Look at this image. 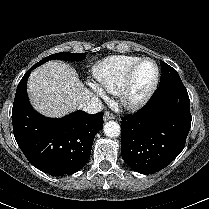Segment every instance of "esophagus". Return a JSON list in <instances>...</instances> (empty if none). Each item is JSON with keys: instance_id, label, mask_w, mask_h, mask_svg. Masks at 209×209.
<instances>
[{"instance_id": "obj_1", "label": "esophagus", "mask_w": 209, "mask_h": 209, "mask_svg": "<svg viewBox=\"0 0 209 209\" xmlns=\"http://www.w3.org/2000/svg\"><path fill=\"white\" fill-rule=\"evenodd\" d=\"M114 118H115V116H114L113 113H111V112H109V111H106V112L104 113V121L112 120V119H114Z\"/></svg>"}]
</instances>
